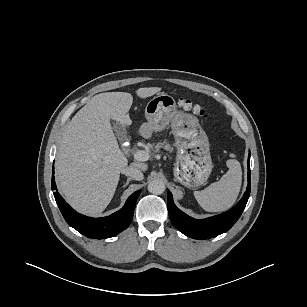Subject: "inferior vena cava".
<instances>
[{
  "mask_svg": "<svg viewBox=\"0 0 307 307\" xmlns=\"http://www.w3.org/2000/svg\"><path fill=\"white\" fill-rule=\"evenodd\" d=\"M121 173H123L127 176H130L132 179H135V180H138V181L143 179L142 171L135 166H128L126 168H123L121 170Z\"/></svg>",
  "mask_w": 307,
  "mask_h": 307,
  "instance_id": "obj_1",
  "label": "inferior vena cava"
}]
</instances>
